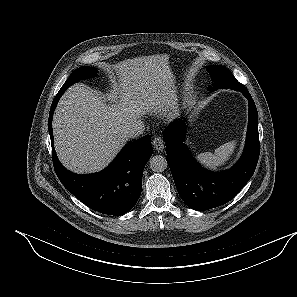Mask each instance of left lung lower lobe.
I'll return each mask as SVG.
<instances>
[{
    "mask_svg": "<svg viewBox=\"0 0 297 297\" xmlns=\"http://www.w3.org/2000/svg\"><path fill=\"white\" fill-rule=\"evenodd\" d=\"M241 92L249 101L246 145L238 162L229 170L211 172L202 168L184 145L183 124L173 122L163 138L167 162L182 200L195 210H208L232 200L252 177L259 158L258 113L247 89Z\"/></svg>",
    "mask_w": 297,
    "mask_h": 297,
    "instance_id": "1",
    "label": "left lung lower lobe"
}]
</instances>
